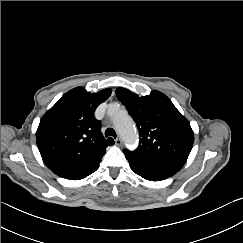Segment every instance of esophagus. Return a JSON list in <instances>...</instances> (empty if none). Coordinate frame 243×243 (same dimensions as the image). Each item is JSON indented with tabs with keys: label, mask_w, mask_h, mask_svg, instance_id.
I'll return each instance as SVG.
<instances>
[{
	"label": "esophagus",
	"mask_w": 243,
	"mask_h": 243,
	"mask_svg": "<svg viewBox=\"0 0 243 243\" xmlns=\"http://www.w3.org/2000/svg\"><path fill=\"white\" fill-rule=\"evenodd\" d=\"M115 144L118 146L122 145V140L120 138L115 139Z\"/></svg>",
	"instance_id": "1"
}]
</instances>
